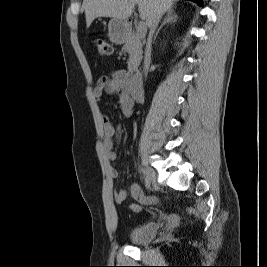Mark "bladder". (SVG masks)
Returning <instances> with one entry per match:
<instances>
[{"label": "bladder", "mask_w": 267, "mask_h": 267, "mask_svg": "<svg viewBox=\"0 0 267 267\" xmlns=\"http://www.w3.org/2000/svg\"><path fill=\"white\" fill-rule=\"evenodd\" d=\"M159 230V224L155 222L146 223L134 229L129 235V240L133 245H144L153 240Z\"/></svg>", "instance_id": "obj_1"}]
</instances>
